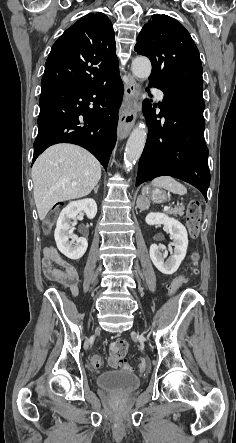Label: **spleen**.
I'll return each instance as SVG.
<instances>
[{
	"mask_svg": "<svg viewBox=\"0 0 236 443\" xmlns=\"http://www.w3.org/2000/svg\"><path fill=\"white\" fill-rule=\"evenodd\" d=\"M151 184L156 187L164 188L174 194L184 195L187 193L186 187L170 176L155 178Z\"/></svg>",
	"mask_w": 236,
	"mask_h": 443,
	"instance_id": "obj_1",
	"label": "spleen"
}]
</instances>
